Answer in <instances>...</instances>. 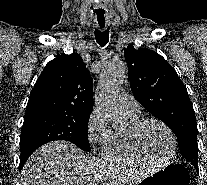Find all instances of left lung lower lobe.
I'll list each match as a JSON object with an SVG mask.
<instances>
[{
    "label": "left lung lower lobe",
    "instance_id": "1",
    "mask_svg": "<svg viewBox=\"0 0 207 185\" xmlns=\"http://www.w3.org/2000/svg\"><path fill=\"white\" fill-rule=\"evenodd\" d=\"M190 163L193 164V166L195 167V169L198 170V159L197 160H192Z\"/></svg>",
    "mask_w": 207,
    "mask_h": 185
}]
</instances>
